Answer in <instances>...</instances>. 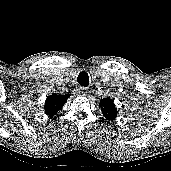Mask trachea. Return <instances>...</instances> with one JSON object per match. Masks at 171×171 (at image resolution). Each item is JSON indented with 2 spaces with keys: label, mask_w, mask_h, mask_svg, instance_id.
I'll return each instance as SVG.
<instances>
[{
  "label": "trachea",
  "mask_w": 171,
  "mask_h": 171,
  "mask_svg": "<svg viewBox=\"0 0 171 171\" xmlns=\"http://www.w3.org/2000/svg\"><path fill=\"white\" fill-rule=\"evenodd\" d=\"M77 82L84 87H87L89 85V76L85 71H82L79 73Z\"/></svg>",
  "instance_id": "obj_1"
}]
</instances>
